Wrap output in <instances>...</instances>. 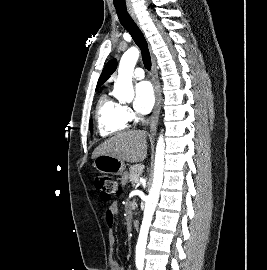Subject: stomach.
<instances>
[{"label": "stomach", "mask_w": 267, "mask_h": 270, "mask_svg": "<svg viewBox=\"0 0 267 270\" xmlns=\"http://www.w3.org/2000/svg\"><path fill=\"white\" fill-rule=\"evenodd\" d=\"M94 168L100 173L122 175L125 170L124 161L110 155H99L94 159Z\"/></svg>", "instance_id": "0dacf381"}]
</instances>
